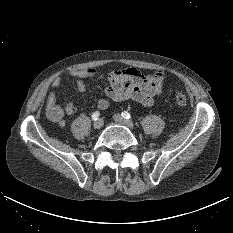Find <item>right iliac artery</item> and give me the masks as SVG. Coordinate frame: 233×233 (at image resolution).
I'll use <instances>...</instances> for the list:
<instances>
[{"mask_svg":"<svg viewBox=\"0 0 233 233\" xmlns=\"http://www.w3.org/2000/svg\"><path fill=\"white\" fill-rule=\"evenodd\" d=\"M99 115H100V113H99L98 111L94 112V113L92 114V116H91V117H92V120H94V121L98 120Z\"/></svg>","mask_w":233,"mask_h":233,"instance_id":"obj_1","label":"right iliac artery"}]
</instances>
